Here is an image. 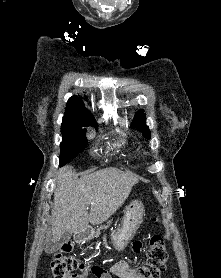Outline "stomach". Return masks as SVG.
I'll list each match as a JSON object with an SVG mask.
<instances>
[{"label":"stomach","instance_id":"stomach-1","mask_svg":"<svg viewBox=\"0 0 221 278\" xmlns=\"http://www.w3.org/2000/svg\"><path fill=\"white\" fill-rule=\"evenodd\" d=\"M144 215L143 204L133 200L125 209L121 229L112 235V243L118 251H122L133 239L140 227Z\"/></svg>","mask_w":221,"mask_h":278}]
</instances>
